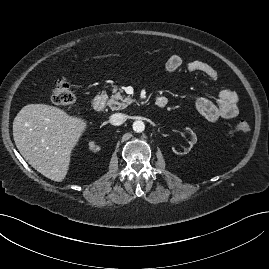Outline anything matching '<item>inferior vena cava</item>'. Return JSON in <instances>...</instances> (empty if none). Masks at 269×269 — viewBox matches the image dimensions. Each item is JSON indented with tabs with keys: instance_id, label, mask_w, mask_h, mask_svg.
Listing matches in <instances>:
<instances>
[{
	"instance_id": "obj_1",
	"label": "inferior vena cava",
	"mask_w": 269,
	"mask_h": 269,
	"mask_svg": "<svg viewBox=\"0 0 269 269\" xmlns=\"http://www.w3.org/2000/svg\"><path fill=\"white\" fill-rule=\"evenodd\" d=\"M126 115L121 113H115L110 116L109 122L112 125L119 126L123 124L126 121Z\"/></svg>"
}]
</instances>
